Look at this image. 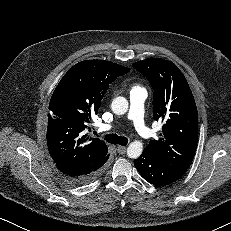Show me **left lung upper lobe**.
Instances as JSON below:
<instances>
[{"instance_id": "left-lung-upper-lobe-1", "label": "left lung upper lobe", "mask_w": 231, "mask_h": 231, "mask_svg": "<svg viewBox=\"0 0 231 231\" xmlns=\"http://www.w3.org/2000/svg\"><path fill=\"white\" fill-rule=\"evenodd\" d=\"M154 89V120L163 122L159 140L144 152L161 162L189 168L198 141V113L194 97L180 69L171 61L147 58L132 65Z\"/></svg>"}]
</instances>
